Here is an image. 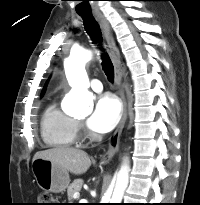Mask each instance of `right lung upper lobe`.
Segmentation results:
<instances>
[{
  "label": "right lung upper lobe",
  "instance_id": "1",
  "mask_svg": "<svg viewBox=\"0 0 200 205\" xmlns=\"http://www.w3.org/2000/svg\"><path fill=\"white\" fill-rule=\"evenodd\" d=\"M44 91H45V87H44V89H43V91H42V95L44 94Z\"/></svg>",
  "mask_w": 200,
  "mask_h": 205
}]
</instances>
